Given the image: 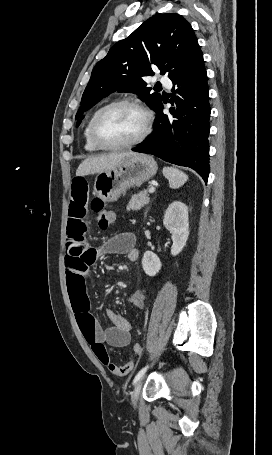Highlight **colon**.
Segmentation results:
<instances>
[{
	"mask_svg": "<svg viewBox=\"0 0 272 455\" xmlns=\"http://www.w3.org/2000/svg\"><path fill=\"white\" fill-rule=\"evenodd\" d=\"M91 210L94 214V218L98 227L101 230H107L114 219L112 211L107 209L104 204L97 198L92 200ZM133 349L136 355H142L143 347L140 343H136Z\"/></svg>",
	"mask_w": 272,
	"mask_h": 455,
	"instance_id": "5ec220e1",
	"label": "colon"
}]
</instances>
